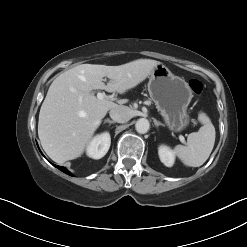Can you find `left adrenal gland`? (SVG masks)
I'll return each mask as SVG.
<instances>
[{
  "mask_svg": "<svg viewBox=\"0 0 247 247\" xmlns=\"http://www.w3.org/2000/svg\"><path fill=\"white\" fill-rule=\"evenodd\" d=\"M154 124H155L156 128H158L159 126H164V124L160 123L156 119H154Z\"/></svg>",
  "mask_w": 247,
  "mask_h": 247,
  "instance_id": "left-adrenal-gland-1",
  "label": "left adrenal gland"
}]
</instances>
